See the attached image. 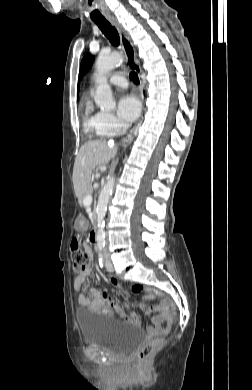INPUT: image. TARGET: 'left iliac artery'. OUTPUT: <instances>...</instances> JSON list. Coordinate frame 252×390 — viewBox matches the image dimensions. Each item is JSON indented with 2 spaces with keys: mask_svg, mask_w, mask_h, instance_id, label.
<instances>
[{
  "mask_svg": "<svg viewBox=\"0 0 252 390\" xmlns=\"http://www.w3.org/2000/svg\"><path fill=\"white\" fill-rule=\"evenodd\" d=\"M105 244L104 243H99L98 248H99V264L100 267H103V255L101 253L102 249L104 248Z\"/></svg>",
  "mask_w": 252,
  "mask_h": 390,
  "instance_id": "44dca946",
  "label": "left iliac artery"
}]
</instances>
